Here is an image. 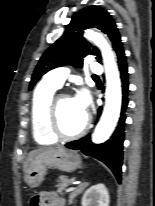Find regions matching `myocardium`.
<instances>
[{"mask_svg":"<svg viewBox=\"0 0 155 206\" xmlns=\"http://www.w3.org/2000/svg\"><path fill=\"white\" fill-rule=\"evenodd\" d=\"M63 98H71L70 94L61 93L52 97L47 111V124L49 131L59 139L71 140L84 135L90 126V117L86 115L82 127L73 133H65L58 122V103Z\"/></svg>","mask_w":155,"mask_h":206,"instance_id":"f54148a6","label":"myocardium"}]
</instances>
